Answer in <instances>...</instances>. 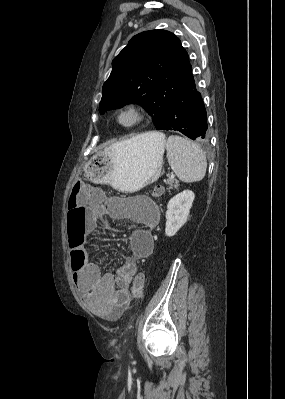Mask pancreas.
Returning a JSON list of instances; mask_svg holds the SVG:
<instances>
[{
  "label": "pancreas",
  "instance_id": "obj_1",
  "mask_svg": "<svg viewBox=\"0 0 285 399\" xmlns=\"http://www.w3.org/2000/svg\"><path fill=\"white\" fill-rule=\"evenodd\" d=\"M165 183L169 185V189L178 188L179 184L173 178H168Z\"/></svg>",
  "mask_w": 285,
  "mask_h": 399
}]
</instances>
